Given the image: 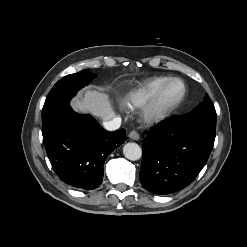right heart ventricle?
Segmentation results:
<instances>
[{
  "instance_id": "e07e8e85",
  "label": "right heart ventricle",
  "mask_w": 247,
  "mask_h": 247,
  "mask_svg": "<svg viewBox=\"0 0 247 247\" xmlns=\"http://www.w3.org/2000/svg\"><path fill=\"white\" fill-rule=\"evenodd\" d=\"M168 77H153L132 88L125 96L124 105L129 109L144 106Z\"/></svg>"
}]
</instances>
